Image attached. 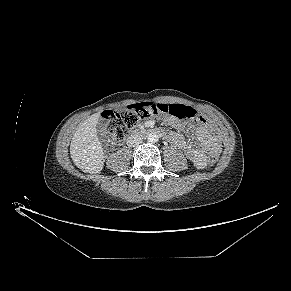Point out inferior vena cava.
I'll return each mask as SVG.
<instances>
[{"mask_svg":"<svg viewBox=\"0 0 291 291\" xmlns=\"http://www.w3.org/2000/svg\"><path fill=\"white\" fill-rule=\"evenodd\" d=\"M141 143H142V139L138 136L131 135L127 139V145L129 147H135V146L140 145Z\"/></svg>","mask_w":291,"mask_h":291,"instance_id":"obj_1","label":"inferior vena cava"}]
</instances>
